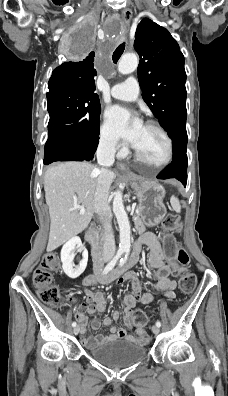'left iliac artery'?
Masks as SVG:
<instances>
[{"label":"left iliac artery","instance_id":"44dca946","mask_svg":"<svg viewBox=\"0 0 228 396\" xmlns=\"http://www.w3.org/2000/svg\"><path fill=\"white\" fill-rule=\"evenodd\" d=\"M127 255H128V252H126V255H125L124 258H121V260H120V262H119V266H122V265L126 262V260H127ZM156 326L160 327V326H161V322H160V321H157V322H156Z\"/></svg>","mask_w":228,"mask_h":396}]
</instances>
